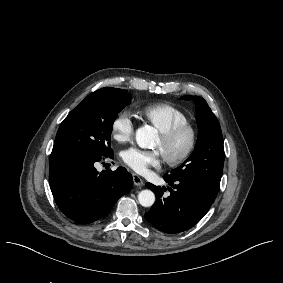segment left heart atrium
<instances>
[{
    "instance_id": "left-heart-atrium-1",
    "label": "left heart atrium",
    "mask_w": 283,
    "mask_h": 283,
    "mask_svg": "<svg viewBox=\"0 0 283 283\" xmlns=\"http://www.w3.org/2000/svg\"><path fill=\"white\" fill-rule=\"evenodd\" d=\"M162 156L159 149L145 151L138 148H128L122 153L124 162L137 172H142L149 166L158 165Z\"/></svg>"
}]
</instances>
